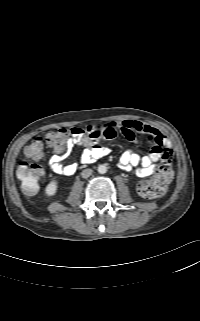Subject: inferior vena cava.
Wrapping results in <instances>:
<instances>
[{"label":"inferior vena cava","mask_w":200,"mask_h":321,"mask_svg":"<svg viewBox=\"0 0 200 321\" xmlns=\"http://www.w3.org/2000/svg\"><path fill=\"white\" fill-rule=\"evenodd\" d=\"M92 172H93L92 169H85L81 172V176L83 178H88L92 175Z\"/></svg>","instance_id":"1"}]
</instances>
